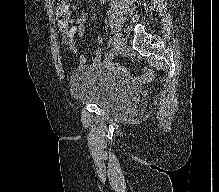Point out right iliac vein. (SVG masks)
I'll return each instance as SVG.
<instances>
[{
  "label": "right iliac vein",
  "instance_id": "right-iliac-vein-1",
  "mask_svg": "<svg viewBox=\"0 0 219 192\" xmlns=\"http://www.w3.org/2000/svg\"><path fill=\"white\" fill-rule=\"evenodd\" d=\"M123 43L118 34L114 36V46H113V53L117 54L122 49Z\"/></svg>",
  "mask_w": 219,
  "mask_h": 192
}]
</instances>
